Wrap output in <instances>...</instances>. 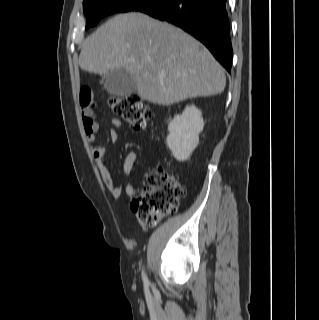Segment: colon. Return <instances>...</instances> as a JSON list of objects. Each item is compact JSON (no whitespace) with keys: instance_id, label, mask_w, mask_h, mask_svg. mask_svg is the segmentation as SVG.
<instances>
[{"instance_id":"colon-1","label":"colon","mask_w":319,"mask_h":320,"mask_svg":"<svg viewBox=\"0 0 319 320\" xmlns=\"http://www.w3.org/2000/svg\"><path fill=\"white\" fill-rule=\"evenodd\" d=\"M110 105L116 114L134 131H144L152 114L137 94L113 96ZM186 196V189L176 176L162 167L154 169L130 204L140 224L156 225L161 218L173 213Z\"/></svg>"}]
</instances>
